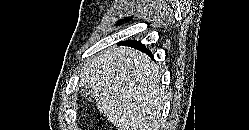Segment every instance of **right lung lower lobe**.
Masks as SVG:
<instances>
[{"label": "right lung lower lobe", "instance_id": "right-lung-lower-lobe-1", "mask_svg": "<svg viewBox=\"0 0 249 130\" xmlns=\"http://www.w3.org/2000/svg\"><path fill=\"white\" fill-rule=\"evenodd\" d=\"M120 44L131 46L135 49L146 52L147 54H150V56H152L151 52L140 41L127 40V41L121 42Z\"/></svg>", "mask_w": 249, "mask_h": 130}]
</instances>
